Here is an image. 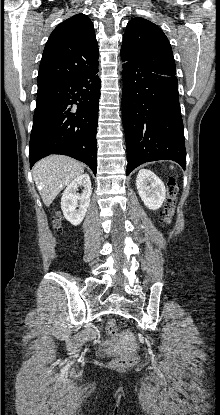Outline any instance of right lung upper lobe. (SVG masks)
Instances as JSON below:
<instances>
[{"instance_id":"right-lung-upper-lobe-1","label":"right lung upper lobe","mask_w":220,"mask_h":415,"mask_svg":"<svg viewBox=\"0 0 220 415\" xmlns=\"http://www.w3.org/2000/svg\"><path fill=\"white\" fill-rule=\"evenodd\" d=\"M98 43L87 15L76 14L51 33L41 59L38 87H50L98 67Z\"/></svg>"}]
</instances>
